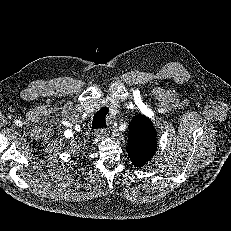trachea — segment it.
<instances>
[{"label":"trachea","mask_w":231,"mask_h":231,"mask_svg":"<svg viewBox=\"0 0 231 231\" xmlns=\"http://www.w3.org/2000/svg\"><path fill=\"white\" fill-rule=\"evenodd\" d=\"M108 112H109V109L107 107H102L98 112H96V114L93 117V121H92V129L106 127L105 117Z\"/></svg>","instance_id":"3493384b"}]
</instances>
